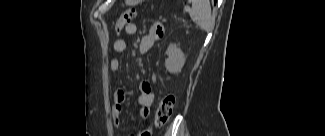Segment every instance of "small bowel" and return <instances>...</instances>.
Wrapping results in <instances>:
<instances>
[{
    "label": "small bowel",
    "mask_w": 325,
    "mask_h": 136,
    "mask_svg": "<svg viewBox=\"0 0 325 136\" xmlns=\"http://www.w3.org/2000/svg\"><path fill=\"white\" fill-rule=\"evenodd\" d=\"M138 30L137 25L132 22L123 27L120 32L125 33L127 36L136 35ZM164 26L162 24H156L152 26L149 33L144 35L139 42V51L141 53H147L152 45L160 40L164 35ZM113 48L116 53H124L127 50V42L123 38L115 39L113 43ZM122 67V61L120 58H112L110 60V69L112 72H119ZM126 99V93L123 89H118L115 92L114 96V106L112 109L113 122L115 125H120V116L122 111V104ZM154 102V93L152 85L146 82H143L138 87V104L140 106V115L143 119H147L151 114V107ZM148 132L149 130H141L136 133L137 136H142L143 133Z\"/></svg>",
    "instance_id": "1"
}]
</instances>
